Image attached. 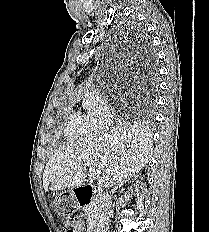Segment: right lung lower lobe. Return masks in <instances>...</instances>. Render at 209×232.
Here are the masks:
<instances>
[{
    "mask_svg": "<svg viewBox=\"0 0 209 232\" xmlns=\"http://www.w3.org/2000/svg\"><path fill=\"white\" fill-rule=\"evenodd\" d=\"M141 56L145 62V65L148 68H152V66L155 64L156 57L151 47L148 44H146L143 47Z\"/></svg>",
    "mask_w": 209,
    "mask_h": 232,
    "instance_id": "98d812e1",
    "label": "right lung lower lobe"
}]
</instances>
